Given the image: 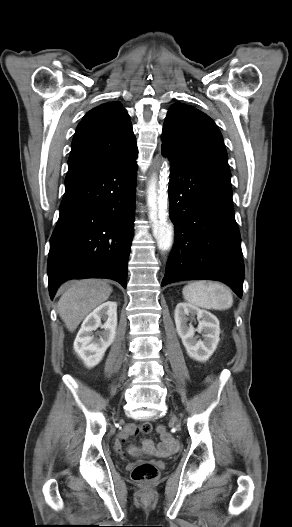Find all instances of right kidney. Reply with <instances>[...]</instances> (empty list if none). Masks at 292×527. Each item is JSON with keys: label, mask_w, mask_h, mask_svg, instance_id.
<instances>
[{"label": "right kidney", "mask_w": 292, "mask_h": 527, "mask_svg": "<svg viewBox=\"0 0 292 527\" xmlns=\"http://www.w3.org/2000/svg\"><path fill=\"white\" fill-rule=\"evenodd\" d=\"M98 327L103 329L98 333L99 338L93 335ZM116 327L117 303L112 301L98 306L83 321L74 341V350L87 367H94L102 360L105 351L114 341Z\"/></svg>", "instance_id": "right-kidney-1"}]
</instances>
